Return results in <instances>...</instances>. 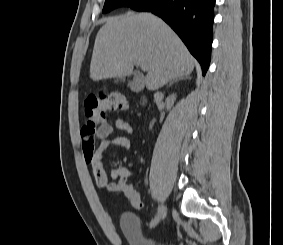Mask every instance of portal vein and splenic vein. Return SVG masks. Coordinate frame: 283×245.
I'll return each mask as SVG.
<instances>
[{
    "label": "portal vein and splenic vein",
    "mask_w": 283,
    "mask_h": 245,
    "mask_svg": "<svg viewBox=\"0 0 283 245\" xmlns=\"http://www.w3.org/2000/svg\"><path fill=\"white\" fill-rule=\"evenodd\" d=\"M143 70H147V65L143 62H138L137 63Z\"/></svg>",
    "instance_id": "portal-vein-and-splenic-vein-1"
}]
</instances>
